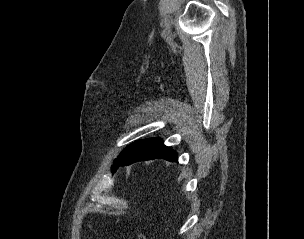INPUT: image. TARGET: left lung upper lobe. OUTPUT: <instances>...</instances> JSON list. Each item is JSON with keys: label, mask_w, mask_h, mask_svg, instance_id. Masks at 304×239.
<instances>
[{"label": "left lung upper lobe", "mask_w": 304, "mask_h": 239, "mask_svg": "<svg viewBox=\"0 0 304 239\" xmlns=\"http://www.w3.org/2000/svg\"><path fill=\"white\" fill-rule=\"evenodd\" d=\"M139 143V141H137V142H135V143H133V144H131L130 146H128L127 148H125L121 153H120V155L118 156V158L117 159H115V161H114V165L112 166V168H111V170L112 171H115V169L117 168V165H118V163H119V161L136 145V144H138Z\"/></svg>", "instance_id": "obj_1"}]
</instances>
